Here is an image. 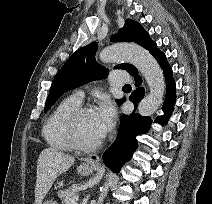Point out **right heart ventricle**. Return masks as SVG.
I'll return each mask as SVG.
<instances>
[{
  "label": "right heart ventricle",
  "mask_w": 212,
  "mask_h": 204,
  "mask_svg": "<svg viewBox=\"0 0 212 204\" xmlns=\"http://www.w3.org/2000/svg\"><path fill=\"white\" fill-rule=\"evenodd\" d=\"M80 105L79 100L70 96L59 102L50 113L42 129L43 138L49 147L57 151L73 150L65 136L63 122L65 117Z\"/></svg>",
  "instance_id": "obj_1"
}]
</instances>
